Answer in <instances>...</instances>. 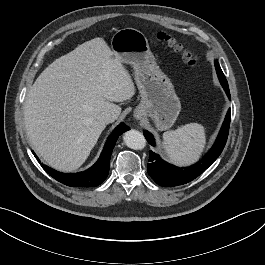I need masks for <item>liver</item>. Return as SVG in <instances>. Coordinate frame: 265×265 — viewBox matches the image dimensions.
Masks as SVG:
<instances>
[{
    "instance_id": "obj_1",
    "label": "liver",
    "mask_w": 265,
    "mask_h": 265,
    "mask_svg": "<svg viewBox=\"0 0 265 265\" xmlns=\"http://www.w3.org/2000/svg\"><path fill=\"white\" fill-rule=\"evenodd\" d=\"M130 74L102 38L87 41L51 63L27 93L24 121L32 148L59 171H73L88 158L114 102L131 99Z\"/></svg>"
}]
</instances>
